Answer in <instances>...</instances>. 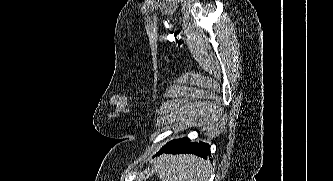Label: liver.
<instances>
[{
	"instance_id": "1",
	"label": "liver",
	"mask_w": 333,
	"mask_h": 181,
	"mask_svg": "<svg viewBox=\"0 0 333 181\" xmlns=\"http://www.w3.org/2000/svg\"><path fill=\"white\" fill-rule=\"evenodd\" d=\"M160 181H208L210 162L195 155H166L154 160Z\"/></svg>"
}]
</instances>
